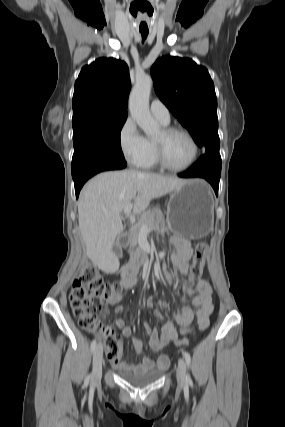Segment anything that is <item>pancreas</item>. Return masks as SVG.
I'll return each mask as SVG.
<instances>
[{
    "instance_id": "pancreas-1",
    "label": "pancreas",
    "mask_w": 285,
    "mask_h": 427,
    "mask_svg": "<svg viewBox=\"0 0 285 427\" xmlns=\"http://www.w3.org/2000/svg\"><path fill=\"white\" fill-rule=\"evenodd\" d=\"M160 224H163L160 219V215L157 209L152 208L145 211L137 220L136 224H134L130 228L129 232V244L131 247H136L138 244V238L141 232V228L143 225H146L148 230H152L158 227Z\"/></svg>"
}]
</instances>
